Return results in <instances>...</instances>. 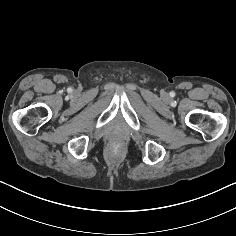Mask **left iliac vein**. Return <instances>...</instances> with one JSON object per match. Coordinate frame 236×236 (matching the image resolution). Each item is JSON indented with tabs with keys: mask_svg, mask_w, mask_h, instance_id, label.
Returning <instances> with one entry per match:
<instances>
[{
	"mask_svg": "<svg viewBox=\"0 0 236 236\" xmlns=\"http://www.w3.org/2000/svg\"><path fill=\"white\" fill-rule=\"evenodd\" d=\"M162 95H163V96H165V95H166V93L164 92V93H162Z\"/></svg>",
	"mask_w": 236,
	"mask_h": 236,
	"instance_id": "left-iliac-vein-1",
	"label": "left iliac vein"
}]
</instances>
